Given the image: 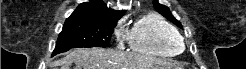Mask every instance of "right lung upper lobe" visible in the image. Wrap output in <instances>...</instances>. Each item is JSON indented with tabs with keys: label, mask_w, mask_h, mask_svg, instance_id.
<instances>
[{
	"label": "right lung upper lobe",
	"mask_w": 246,
	"mask_h": 69,
	"mask_svg": "<svg viewBox=\"0 0 246 69\" xmlns=\"http://www.w3.org/2000/svg\"><path fill=\"white\" fill-rule=\"evenodd\" d=\"M125 11H114L107 8L102 0H95L80 4L66 21L72 20H105L117 21L123 16Z\"/></svg>",
	"instance_id": "right-lung-upper-lobe-1"
}]
</instances>
